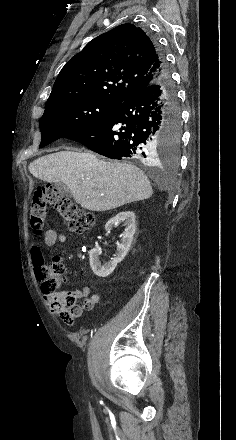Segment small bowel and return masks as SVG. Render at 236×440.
<instances>
[{"label": "small bowel", "mask_w": 236, "mask_h": 440, "mask_svg": "<svg viewBox=\"0 0 236 440\" xmlns=\"http://www.w3.org/2000/svg\"><path fill=\"white\" fill-rule=\"evenodd\" d=\"M66 242V236L64 234L58 233L55 230L46 231L43 238V245L46 247H53L57 244H63ZM32 259L36 266L39 265L42 259V253L40 249L35 248L32 252ZM38 268V267H37ZM39 274V273H38ZM66 296L75 302V307H73L70 312L73 319L78 318L82 315L83 311H89L94 308V306L99 302V296L97 294H91V290L88 286H83L80 289L67 292ZM46 302L48 303L51 311L62 318L60 309L56 304L53 303L52 299L48 295H44ZM82 300L81 305L77 304L78 301Z\"/></svg>", "instance_id": "small-bowel-1"}]
</instances>
